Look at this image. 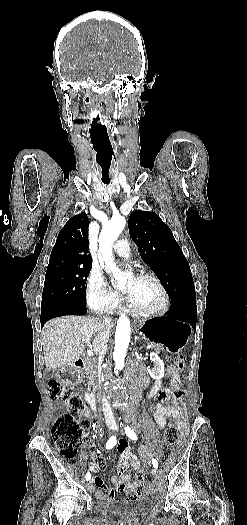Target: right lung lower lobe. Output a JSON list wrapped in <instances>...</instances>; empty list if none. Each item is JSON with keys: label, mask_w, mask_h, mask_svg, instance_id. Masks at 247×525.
Listing matches in <instances>:
<instances>
[{"label": "right lung lower lobe", "mask_w": 247, "mask_h": 525, "mask_svg": "<svg viewBox=\"0 0 247 525\" xmlns=\"http://www.w3.org/2000/svg\"><path fill=\"white\" fill-rule=\"evenodd\" d=\"M52 311H53V314H57V316L67 315V314L83 315L86 313V305L84 306H64V307L55 308ZM47 320L48 318L41 317V327H43L44 323Z\"/></svg>", "instance_id": "1"}]
</instances>
